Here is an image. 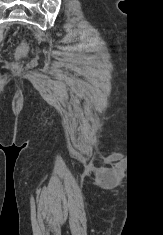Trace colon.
<instances>
[{
  "label": "colon",
  "instance_id": "obj_1",
  "mask_svg": "<svg viewBox=\"0 0 163 235\" xmlns=\"http://www.w3.org/2000/svg\"><path fill=\"white\" fill-rule=\"evenodd\" d=\"M27 53V46L24 43H21L19 47L17 48V56L23 57Z\"/></svg>",
  "mask_w": 163,
  "mask_h": 235
}]
</instances>
